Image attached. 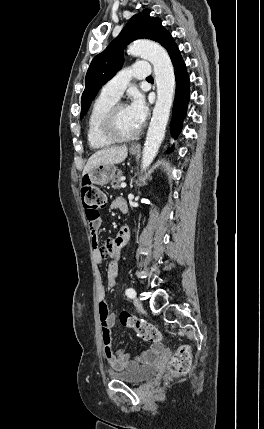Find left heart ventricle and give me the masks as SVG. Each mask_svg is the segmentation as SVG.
I'll use <instances>...</instances> for the list:
<instances>
[{
  "mask_svg": "<svg viewBox=\"0 0 264 429\" xmlns=\"http://www.w3.org/2000/svg\"><path fill=\"white\" fill-rule=\"evenodd\" d=\"M117 129L124 136L132 135L140 127L130 115L127 107L119 109L116 118Z\"/></svg>",
  "mask_w": 264,
  "mask_h": 429,
  "instance_id": "b2bd125f",
  "label": "left heart ventricle"
}]
</instances>
